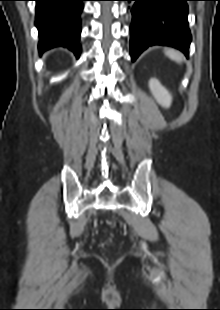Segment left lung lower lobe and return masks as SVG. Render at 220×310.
Listing matches in <instances>:
<instances>
[{
  "mask_svg": "<svg viewBox=\"0 0 220 310\" xmlns=\"http://www.w3.org/2000/svg\"><path fill=\"white\" fill-rule=\"evenodd\" d=\"M127 1H135L130 38L132 61L153 45L177 48L188 58L191 33L187 20V1L191 0Z\"/></svg>",
  "mask_w": 220,
  "mask_h": 310,
  "instance_id": "left-lung-lower-lobe-1",
  "label": "left lung lower lobe"
}]
</instances>
